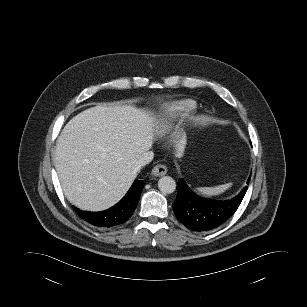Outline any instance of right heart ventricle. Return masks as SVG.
I'll return each mask as SVG.
<instances>
[{"instance_id": "e07e8e85", "label": "right heart ventricle", "mask_w": 307, "mask_h": 307, "mask_svg": "<svg viewBox=\"0 0 307 307\" xmlns=\"http://www.w3.org/2000/svg\"><path fill=\"white\" fill-rule=\"evenodd\" d=\"M195 107V103L189 99L174 101L163 106L162 110L165 116V121H163L162 125L160 126V132H164V130L168 128V124L171 120H181L185 116L189 115L195 109Z\"/></svg>"}]
</instances>
